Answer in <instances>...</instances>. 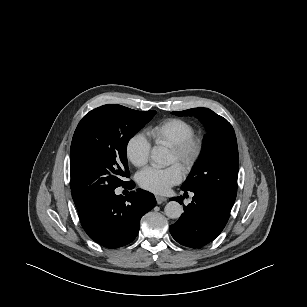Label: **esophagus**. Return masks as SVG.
<instances>
[{
  "instance_id": "1",
  "label": "esophagus",
  "mask_w": 307,
  "mask_h": 307,
  "mask_svg": "<svg viewBox=\"0 0 307 307\" xmlns=\"http://www.w3.org/2000/svg\"><path fill=\"white\" fill-rule=\"evenodd\" d=\"M155 198H156L157 204H162L163 202L167 201L166 197H163V196H160V195H156Z\"/></svg>"
}]
</instances>
